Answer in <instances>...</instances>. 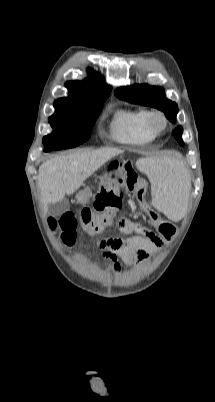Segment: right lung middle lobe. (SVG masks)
<instances>
[{
	"instance_id": "right-lung-middle-lobe-1",
	"label": "right lung middle lobe",
	"mask_w": 215,
	"mask_h": 402,
	"mask_svg": "<svg viewBox=\"0 0 215 402\" xmlns=\"http://www.w3.org/2000/svg\"><path fill=\"white\" fill-rule=\"evenodd\" d=\"M107 97L90 102L55 101L56 111L49 118L53 132L43 138L44 151L73 148L87 141Z\"/></svg>"
}]
</instances>
